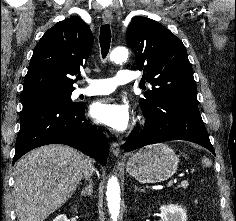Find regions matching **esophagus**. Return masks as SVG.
I'll use <instances>...</instances> for the list:
<instances>
[{
    "label": "esophagus",
    "mask_w": 236,
    "mask_h": 221,
    "mask_svg": "<svg viewBox=\"0 0 236 221\" xmlns=\"http://www.w3.org/2000/svg\"><path fill=\"white\" fill-rule=\"evenodd\" d=\"M102 17H103V21L105 23H110L113 20V15H112V12L110 10H104V12L102 14ZM110 151L112 152V154L114 156H119V153H120L119 144L116 143V142H113L110 146Z\"/></svg>",
    "instance_id": "1"
}]
</instances>
